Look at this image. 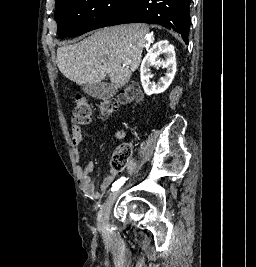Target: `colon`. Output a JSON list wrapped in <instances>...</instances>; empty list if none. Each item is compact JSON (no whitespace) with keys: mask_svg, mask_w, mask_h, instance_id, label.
Here are the masks:
<instances>
[{"mask_svg":"<svg viewBox=\"0 0 256 267\" xmlns=\"http://www.w3.org/2000/svg\"><path fill=\"white\" fill-rule=\"evenodd\" d=\"M141 99V92L137 84L132 83L121 90L116 98L102 99L99 103V113L102 117H111L122 106L138 103ZM92 112L91 102L86 98H77L73 107V121L79 126L89 122ZM131 155V148L128 144L119 145L113 153L112 165L115 169H123Z\"/></svg>","mask_w":256,"mask_h":267,"instance_id":"1","label":"colon"}]
</instances>
